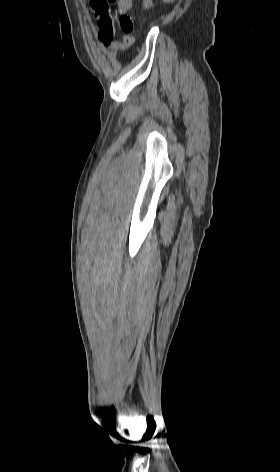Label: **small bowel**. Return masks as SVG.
I'll return each instance as SVG.
<instances>
[{"mask_svg":"<svg viewBox=\"0 0 280 472\" xmlns=\"http://www.w3.org/2000/svg\"><path fill=\"white\" fill-rule=\"evenodd\" d=\"M132 6V0H118V12L122 14H127ZM98 39L103 47L106 49H112L115 51H120L124 49L132 41L131 37L123 36L122 42L116 41L115 37V28L113 22H110L106 26H102L98 23Z\"/></svg>","mask_w":280,"mask_h":472,"instance_id":"1","label":"small bowel"}]
</instances>
